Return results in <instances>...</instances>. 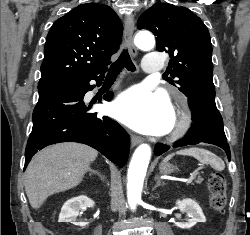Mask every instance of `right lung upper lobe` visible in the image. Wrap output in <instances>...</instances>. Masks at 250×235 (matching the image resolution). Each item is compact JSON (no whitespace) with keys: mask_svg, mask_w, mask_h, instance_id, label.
Returning <instances> with one entry per match:
<instances>
[{"mask_svg":"<svg viewBox=\"0 0 250 235\" xmlns=\"http://www.w3.org/2000/svg\"><path fill=\"white\" fill-rule=\"evenodd\" d=\"M122 30L104 4H81L57 19L47 35L38 90L105 73Z\"/></svg>","mask_w":250,"mask_h":235,"instance_id":"1","label":"right lung upper lobe"}]
</instances>
